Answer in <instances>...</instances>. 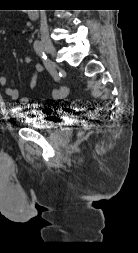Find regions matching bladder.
<instances>
[{"label": "bladder", "mask_w": 138, "mask_h": 253, "mask_svg": "<svg viewBox=\"0 0 138 253\" xmlns=\"http://www.w3.org/2000/svg\"><path fill=\"white\" fill-rule=\"evenodd\" d=\"M45 111H49V109L47 108ZM47 116L48 114L44 111L28 110L21 112L20 119L28 128L48 131L57 126L54 122L47 120Z\"/></svg>", "instance_id": "bladder-1"}]
</instances>
